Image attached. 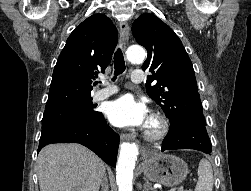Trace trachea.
Instances as JSON below:
<instances>
[{
    "instance_id": "obj_1",
    "label": "trachea",
    "mask_w": 251,
    "mask_h": 191,
    "mask_svg": "<svg viewBox=\"0 0 251 191\" xmlns=\"http://www.w3.org/2000/svg\"><path fill=\"white\" fill-rule=\"evenodd\" d=\"M126 69L124 56L122 50L118 48L114 54V77L112 81L116 80L118 75H121ZM97 84V82L95 83Z\"/></svg>"
}]
</instances>
